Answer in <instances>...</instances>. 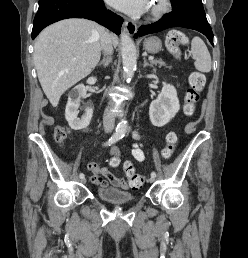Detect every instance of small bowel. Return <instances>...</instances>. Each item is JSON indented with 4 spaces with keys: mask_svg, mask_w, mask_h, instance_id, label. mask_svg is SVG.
Masks as SVG:
<instances>
[{
    "mask_svg": "<svg viewBox=\"0 0 248 258\" xmlns=\"http://www.w3.org/2000/svg\"><path fill=\"white\" fill-rule=\"evenodd\" d=\"M134 137L138 139L137 134H134ZM132 155L134 159L138 162H142L145 159V154L139 144H134L132 149ZM87 168L89 171L92 172L91 182L94 185L105 187L111 184L123 190L135 188L131 185L130 180L126 181L124 178L116 177L106 167H99L96 163L92 162L87 165Z\"/></svg>",
    "mask_w": 248,
    "mask_h": 258,
    "instance_id": "1",
    "label": "small bowel"
}]
</instances>
